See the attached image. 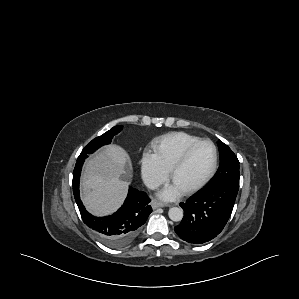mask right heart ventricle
I'll list each match as a JSON object with an SVG mask.
<instances>
[{
  "label": "right heart ventricle",
  "instance_id": "e07e8e85",
  "mask_svg": "<svg viewBox=\"0 0 299 299\" xmlns=\"http://www.w3.org/2000/svg\"><path fill=\"white\" fill-rule=\"evenodd\" d=\"M199 140V137L188 133L172 132L154 139L151 147L159 163L170 171L181 154Z\"/></svg>",
  "mask_w": 299,
  "mask_h": 299
}]
</instances>
